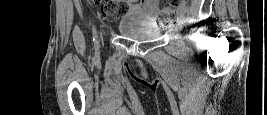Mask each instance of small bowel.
Masks as SVG:
<instances>
[{"label": "small bowel", "mask_w": 267, "mask_h": 115, "mask_svg": "<svg viewBox=\"0 0 267 115\" xmlns=\"http://www.w3.org/2000/svg\"><path fill=\"white\" fill-rule=\"evenodd\" d=\"M159 0H146L141 3H132L130 10L133 13L143 15L147 19L154 20L156 17Z\"/></svg>", "instance_id": "small-bowel-1"}]
</instances>
